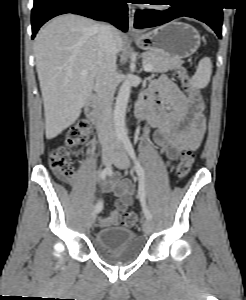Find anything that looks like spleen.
<instances>
[{"label": "spleen", "instance_id": "3e777b00", "mask_svg": "<svg viewBox=\"0 0 246 300\" xmlns=\"http://www.w3.org/2000/svg\"><path fill=\"white\" fill-rule=\"evenodd\" d=\"M211 74H212L211 60L208 57H204L199 61L197 70L193 75V77L191 78L190 83L194 88L203 89L209 84Z\"/></svg>", "mask_w": 246, "mask_h": 300}]
</instances>
